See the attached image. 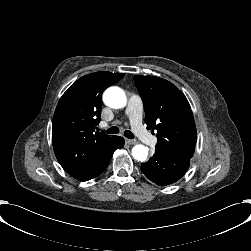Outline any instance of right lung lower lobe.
Returning <instances> with one entry per match:
<instances>
[{
    "label": "right lung lower lobe",
    "instance_id": "1",
    "mask_svg": "<svg viewBox=\"0 0 251 251\" xmlns=\"http://www.w3.org/2000/svg\"><path fill=\"white\" fill-rule=\"evenodd\" d=\"M124 139L122 137H117L116 142L114 144V148L113 150L108 154L107 158L105 160H103L97 167H95L94 169H92L91 171H89L88 173L84 174L83 176L77 178V180L79 181H88L90 179H93L94 177L98 176L99 174H101L108 166L112 155L114 153V151L116 149H119L121 147H123L124 145Z\"/></svg>",
    "mask_w": 251,
    "mask_h": 251
}]
</instances>
